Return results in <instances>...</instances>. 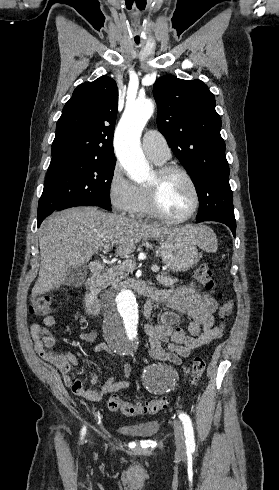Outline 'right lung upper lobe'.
Listing matches in <instances>:
<instances>
[{"label": "right lung upper lobe", "instance_id": "1", "mask_svg": "<svg viewBox=\"0 0 279 490\" xmlns=\"http://www.w3.org/2000/svg\"><path fill=\"white\" fill-rule=\"evenodd\" d=\"M117 108L118 88L112 78L102 76L79 85L57 122L50 164L114 156Z\"/></svg>", "mask_w": 279, "mask_h": 490}]
</instances>
